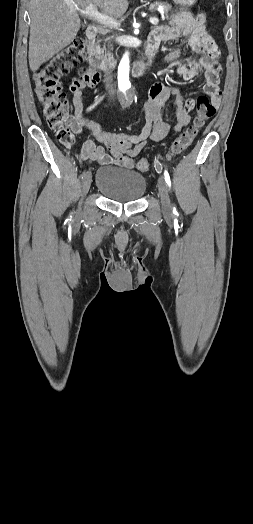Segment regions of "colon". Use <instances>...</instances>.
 <instances>
[{
    "mask_svg": "<svg viewBox=\"0 0 253 524\" xmlns=\"http://www.w3.org/2000/svg\"><path fill=\"white\" fill-rule=\"evenodd\" d=\"M88 41L79 36L71 41L57 55L47 61L33 75V85L36 97L43 111L45 120L56 134L59 143L71 147L75 143V134L69 118V103L59 79L67 75L83 61ZM102 71L79 68L78 75L68 81V91L75 97L85 94L93 86L100 84ZM197 113L192 123L172 142L168 158L181 155L192 143L205 123L215 115V108L207 95H202L196 102ZM137 169L147 171L150 167L146 159L137 161Z\"/></svg>",
    "mask_w": 253,
    "mask_h": 524,
    "instance_id": "colon-1",
    "label": "colon"
}]
</instances>
